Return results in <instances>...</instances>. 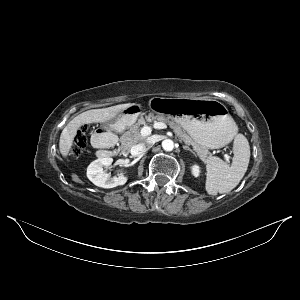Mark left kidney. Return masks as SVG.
<instances>
[{
    "instance_id": "left-kidney-1",
    "label": "left kidney",
    "mask_w": 300,
    "mask_h": 300,
    "mask_svg": "<svg viewBox=\"0 0 300 300\" xmlns=\"http://www.w3.org/2000/svg\"><path fill=\"white\" fill-rule=\"evenodd\" d=\"M192 174L197 177L200 174V168L198 165H193L192 166Z\"/></svg>"
}]
</instances>
